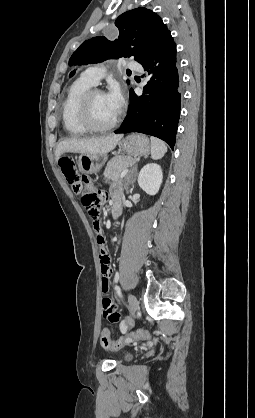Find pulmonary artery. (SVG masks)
I'll use <instances>...</instances> for the list:
<instances>
[{
  "mask_svg": "<svg viewBox=\"0 0 255 418\" xmlns=\"http://www.w3.org/2000/svg\"><path fill=\"white\" fill-rule=\"evenodd\" d=\"M127 68L130 70L139 71L141 69L140 65L136 62L130 61L127 63ZM104 71L100 67H91L88 68L84 73L83 76L89 80L92 84L96 85L99 83L100 79L102 78Z\"/></svg>",
  "mask_w": 255,
  "mask_h": 418,
  "instance_id": "e3ab8cb5",
  "label": "pulmonary artery"
}]
</instances>
